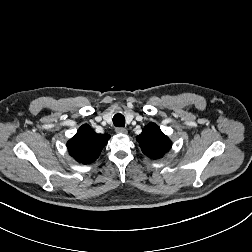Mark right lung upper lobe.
Segmentation results:
<instances>
[{"instance_id": "right-lung-upper-lobe-1", "label": "right lung upper lobe", "mask_w": 252, "mask_h": 252, "mask_svg": "<svg viewBox=\"0 0 252 252\" xmlns=\"http://www.w3.org/2000/svg\"><path fill=\"white\" fill-rule=\"evenodd\" d=\"M109 139L110 135L97 134L89 125L84 124L68 141L67 148L76 161L89 164L99 157Z\"/></svg>"}]
</instances>
